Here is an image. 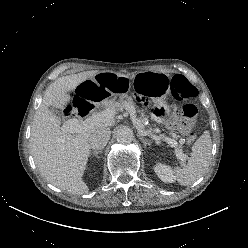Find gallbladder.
Wrapping results in <instances>:
<instances>
[{
  "label": "gallbladder",
  "mask_w": 248,
  "mask_h": 248,
  "mask_svg": "<svg viewBox=\"0 0 248 248\" xmlns=\"http://www.w3.org/2000/svg\"><path fill=\"white\" fill-rule=\"evenodd\" d=\"M49 110L51 113L59 120H64V118L60 115V113L54 108V107H49Z\"/></svg>",
  "instance_id": "1"
}]
</instances>
